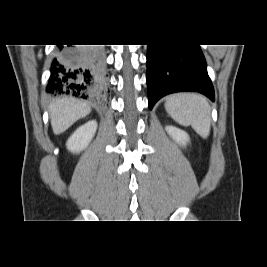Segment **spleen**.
<instances>
[{"label":"spleen","mask_w":267,"mask_h":267,"mask_svg":"<svg viewBox=\"0 0 267 267\" xmlns=\"http://www.w3.org/2000/svg\"><path fill=\"white\" fill-rule=\"evenodd\" d=\"M167 113L179 124L192 126L203 138L210 133V107L206 98L195 93H180L166 98Z\"/></svg>","instance_id":"1"}]
</instances>
